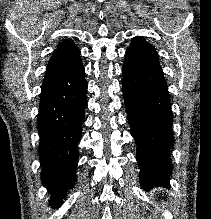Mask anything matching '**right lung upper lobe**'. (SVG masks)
Returning a JSON list of instances; mask_svg holds the SVG:
<instances>
[{
  "label": "right lung upper lobe",
  "mask_w": 211,
  "mask_h": 219,
  "mask_svg": "<svg viewBox=\"0 0 211 219\" xmlns=\"http://www.w3.org/2000/svg\"><path fill=\"white\" fill-rule=\"evenodd\" d=\"M79 59L80 51L72 41L65 40L59 43L47 65L44 81Z\"/></svg>",
  "instance_id": "obj_1"
}]
</instances>
